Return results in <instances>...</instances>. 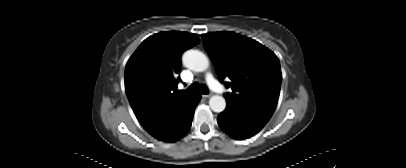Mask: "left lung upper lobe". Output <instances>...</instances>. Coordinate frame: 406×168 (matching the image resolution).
<instances>
[{
    "label": "left lung upper lobe",
    "mask_w": 406,
    "mask_h": 168,
    "mask_svg": "<svg viewBox=\"0 0 406 168\" xmlns=\"http://www.w3.org/2000/svg\"><path fill=\"white\" fill-rule=\"evenodd\" d=\"M218 79L231 93L226 101L273 114L280 92L282 74L277 56L259 42L234 32L203 34Z\"/></svg>",
    "instance_id": "obj_1"
}]
</instances>
